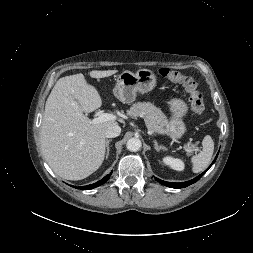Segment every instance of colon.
Returning a JSON list of instances; mask_svg holds the SVG:
<instances>
[{"instance_id": "colon-1", "label": "colon", "mask_w": 253, "mask_h": 253, "mask_svg": "<svg viewBox=\"0 0 253 253\" xmlns=\"http://www.w3.org/2000/svg\"><path fill=\"white\" fill-rule=\"evenodd\" d=\"M158 74L171 82L182 84L189 93V101L192 111L196 115H202L204 113L205 106L203 96L198 90L196 80L192 76L170 68H161L158 70Z\"/></svg>"}]
</instances>
